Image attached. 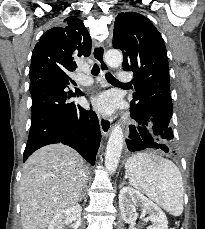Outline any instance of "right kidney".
<instances>
[{
    "instance_id": "ca27d5eb",
    "label": "right kidney",
    "mask_w": 205,
    "mask_h": 229,
    "mask_svg": "<svg viewBox=\"0 0 205 229\" xmlns=\"http://www.w3.org/2000/svg\"><path fill=\"white\" fill-rule=\"evenodd\" d=\"M81 212L82 207L79 204L60 211L53 217L48 229H63L64 226L69 224L73 219L79 218Z\"/></svg>"
}]
</instances>
